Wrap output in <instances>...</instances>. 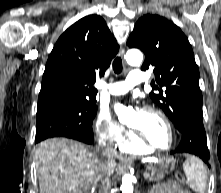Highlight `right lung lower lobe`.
<instances>
[{"instance_id": "1", "label": "right lung lower lobe", "mask_w": 221, "mask_h": 193, "mask_svg": "<svg viewBox=\"0 0 221 193\" xmlns=\"http://www.w3.org/2000/svg\"><path fill=\"white\" fill-rule=\"evenodd\" d=\"M93 140H94V137H93V138H87V139H85V141H83V142L88 143V144H91V143L93 142ZM36 143H38V142H36Z\"/></svg>"}]
</instances>
